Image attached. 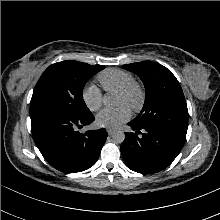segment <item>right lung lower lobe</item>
<instances>
[{"label":"right lung lower lobe","instance_id":"obj_1","mask_svg":"<svg viewBox=\"0 0 220 220\" xmlns=\"http://www.w3.org/2000/svg\"><path fill=\"white\" fill-rule=\"evenodd\" d=\"M32 134L36 146L45 160L65 173L81 172L92 167L104 145L107 132L104 128L84 134L76 127L88 125L94 116H77L47 105L30 106Z\"/></svg>","mask_w":220,"mask_h":220}]
</instances>
